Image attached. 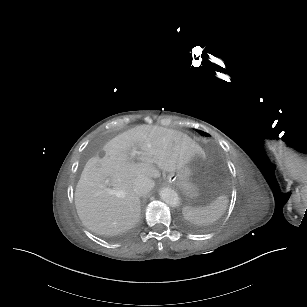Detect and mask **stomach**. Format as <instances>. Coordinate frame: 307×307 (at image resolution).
Segmentation results:
<instances>
[{
	"label": "stomach",
	"instance_id": "1",
	"mask_svg": "<svg viewBox=\"0 0 307 307\" xmlns=\"http://www.w3.org/2000/svg\"><path fill=\"white\" fill-rule=\"evenodd\" d=\"M202 163V155L196 154L184 167L170 172L167 181L188 194L195 190L194 178Z\"/></svg>",
	"mask_w": 307,
	"mask_h": 307
}]
</instances>
